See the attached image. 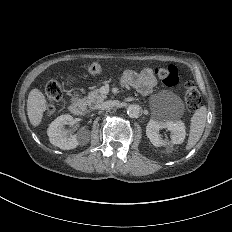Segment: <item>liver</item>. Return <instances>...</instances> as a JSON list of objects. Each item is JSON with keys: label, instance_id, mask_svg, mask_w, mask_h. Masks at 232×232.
Wrapping results in <instances>:
<instances>
[{"label": "liver", "instance_id": "1", "mask_svg": "<svg viewBox=\"0 0 232 232\" xmlns=\"http://www.w3.org/2000/svg\"><path fill=\"white\" fill-rule=\"evenodd\" d=\"M28 117L33 125H38L45 110L44 97L38 90L29 93L27 101Z\"/></svg>", "mask_w": 232, "mask_h": 232}]
</instances>
